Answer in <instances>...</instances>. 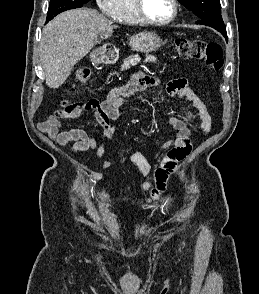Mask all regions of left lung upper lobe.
<instances>
[{"label":"left lung upper lobe","mask_w":259,"mask_h":294,"mask_svg":"<svg viewBox=\"0 0 259 294\" xmlns=\"http://www.w3.org/2000/svg\"><path fill=\"white\" fill-rule=\"evenodd\" d=\"M187 9L202 18L197 23L207 25L216 30L225 29L221 16L220 0H178Z\"/></svg>","instance_id":"5c2ea615"}]
</instances>
